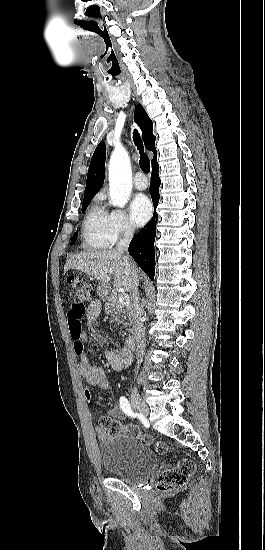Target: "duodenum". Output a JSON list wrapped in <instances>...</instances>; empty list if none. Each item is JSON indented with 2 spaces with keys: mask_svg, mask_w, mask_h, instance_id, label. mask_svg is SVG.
<instances>
[{
  "mask_svg": "<svg viewBox=\"0 0 265 550\" xmlns=\"http://www.w3.org/2000/svg\"><path fill=\"white\" fill-rule=\"evenodd\" d=\"M125 342H126V347H127L128 350H135L136 349L137 343H136V340L133 336L127 337Z\"/></svg>",
  "mask_w": 265,
  "mask_h": 550,
  "instance_id": "duodenum-1",
  "label": "duodenum"
}]
</instances>
